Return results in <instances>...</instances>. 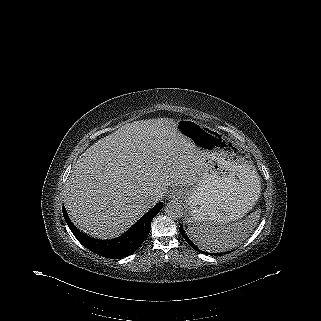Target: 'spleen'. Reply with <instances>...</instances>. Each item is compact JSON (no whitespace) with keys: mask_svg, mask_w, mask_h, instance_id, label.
Segmentation results:
<instances>
[{"mask_svg":"<svg viewBox=\"0 0 321 321\" xmlns=\"http://www.w3.org/2000/svg\"><path fill=\"white\" fill-rule=\"evenodd\" d=\"M261 210L245 219L228 224L193 223L188 226V235L198 247L207 252H225L237 247L255 229Z\"/></svg>","mask_w":321,"mask_h":321,"instance_id":"1","label":"spleen"}]
</instances>
